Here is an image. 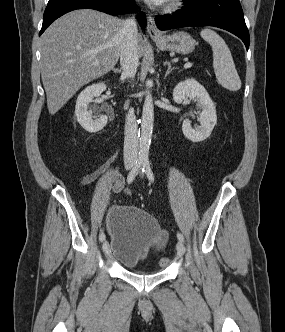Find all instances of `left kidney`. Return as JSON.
<instances>
[{
    "label": "left kidney",
    "mask_w": 285,
    "mask_h": 332,
    "mask_svg": "<svg viewBox=\"0 0 285 332\" xmlns=\"http://www.w3.org/2000/svg\"><path fill=\"white\" fill-rule=\"evenodd\" d=\"M188 98L196 99L200 104V126L192 127L191 121L186 119L182 124V132L192 142H201L210 136L217 123L216 108L206 89L195 79L181 81L173 90L174 102L181 104Z\"/></svg>",
    "instance_id": "5707ae66"
}]
</instances>
